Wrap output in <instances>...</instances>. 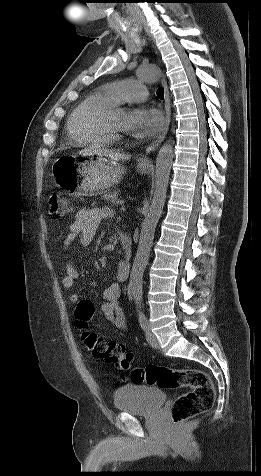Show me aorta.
Segmentation results:
<instances>
[{"label":"aorta","mask_w":261,"mask_h":476,"mask_svg":"<svg viewBox=\"0 0 261 476\" xmlns=\"http://www.w3.org/2000/svg\"><path fill=\"white\" fill-rule=\"evenodd\" d=\"M138 75L140 79L154 83L160 78V70L155 65H147L138 69ZM173 157V143L168 140L157 154L153 197L141 225L139 244L130 273L129 288L137 305L141 304L143 299V273L148 264L155 229L166 201Z\"/></svg>","instance_id":"obj_1"}]
</instances>
